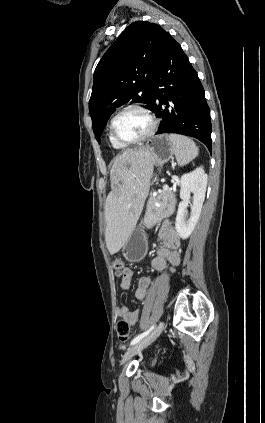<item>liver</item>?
Returning <instances> with one entry per match:
<instances>
[{"label":"liver","instance_id":"6515ba94","mask_svg":"<svg viewBox=\"0 0 265 423\" xmlns=\"http://www.w3.org/2000/svg\"><path fill=\"white\" fill-rule=\"evenodd\" d=\"M154 158L150 151L127 149L116 158L105 204V242L111 255L125 244L142 212L150 189Z\"/></svg>","mask_w":265,"mask_h":423}]
</instances>
